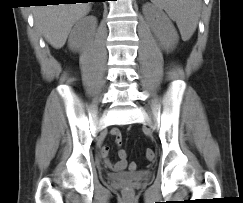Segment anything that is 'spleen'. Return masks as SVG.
Wrapping results in <instances>:
<instances>
[{
	"mask_svg": "<svg viewBox=\"0 0 243 203\" xmlns=\"http://www.w3.org/2000/svg\"><path fill=\"white\" fill-rule=\"evenodd\" d=\"M151 2L157 8L165 10L176 22L183 41L191 38L199 21L201 0H151Z\"/></svg>",
	"mask_w": 243,
	"mask_h": 203,
	"instance_id": "1",
	"label": "spleen"
}]
</instances>
